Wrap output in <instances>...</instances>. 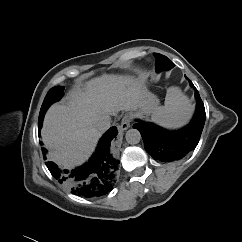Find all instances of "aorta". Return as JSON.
<instances>
[{
    "label": "aorta",
    "instance_id": "762f6f07",
    "mask_svg": "<svg viewBox=\"0 0 242 242\" xmlns=\"http://www.w3.org/2000/svg\"><path fill=\"white\" fill-rule=\"evenodd\" d=\"M125 138L128 144L135 145L140 142L141 134L137 129H129L125 134Z\"/></svg>",
    "mask_w": 242,
    "mask_h": 242
}]
</instances>
